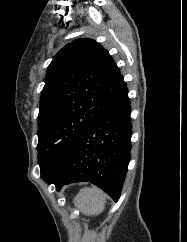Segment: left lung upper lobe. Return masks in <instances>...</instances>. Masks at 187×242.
Listing matches in <instances>:
<instances>
[{
	"instance_id": "1",
	"label": "left lung upper lobe",
	"mask_w": 187,
	"mask_h": 242,
	"mask_svg": "<svg viewBox=\"0 0 187 242\" xmlns=\"http://www.w3.org/2000/svg\"><path fill=\"white\" fill-rule=\"evenodd\" d=\"M128 92L116 63L98 42L78 39L47 68L38 115L41 176L54 171L85 131Z\"/></svg>"
}]
</instances>
